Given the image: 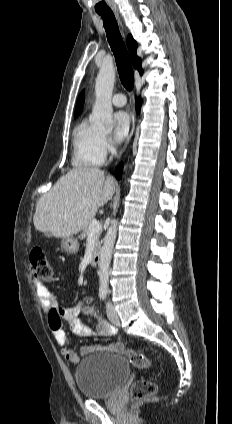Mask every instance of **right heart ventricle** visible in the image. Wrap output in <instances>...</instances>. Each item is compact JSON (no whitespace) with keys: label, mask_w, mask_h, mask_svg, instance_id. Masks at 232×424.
<instances>
[{"label":"right heart ventricle","mask_w":232,"mask_h":424,"mask_svg":"<svg viewBox=\"0 0 232 424\" xmlns=\"http://www.w3.org/2000/svg\"><path fill=\"white\" fill-rule=\"evenodd\" d=\"M105 158L102 131L89 119H82L73 133V166L76 168L97 167L104 164Z\"/></svg>","instance_id":"1"}]
</instances>
